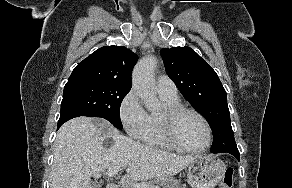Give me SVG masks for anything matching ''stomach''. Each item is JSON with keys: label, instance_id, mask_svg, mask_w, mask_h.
I'll list each match as a JSON object with an SVG mask.
<instances>
[{"label": "stomach", "instance_id": "stomach-1", "mask_svg": "<svg viewBox=\"0 0 292 188\" xmlns=\"http://www.w3.org/2000/svg\"><path fill=\"white\" fill-rule=\"evenodd\" d=\"M188 183L192 188H214L226 172L225 163L212 155H199L187 165Z\"/></svg>", "mask_w": 292, "mask_h": 188}]
</instances>
